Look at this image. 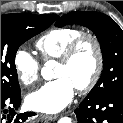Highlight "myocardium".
Masks as SVG:
<instances>
[{"label":"myocardium","mask_w":123,"mask_h":123,"mask_svg":"<svg viewBox=\"0 0 123 123\" xmlns=\"http://www.w3.org/2000/svg\"><path fill=\"white\" fill-rule=\"evenodd\" d=\"M86 42H89L93 45L95 50L96 62L94 71L88 81L85 84L76 87V89L81 93H86L92 90L98 83L103 72L104 54L102 44L99 38L92 33L80 34L72 42H70L61 57L58 59L59 64L68 65L73 60L81 46Z\"/></svg>","instance_id":"1"}]
</instances>
